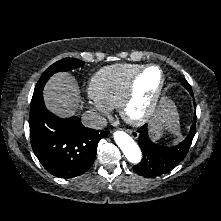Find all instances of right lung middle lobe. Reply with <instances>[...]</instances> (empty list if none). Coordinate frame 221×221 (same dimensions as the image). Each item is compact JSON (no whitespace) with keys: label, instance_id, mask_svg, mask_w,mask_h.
<instances>
[{"label":"right lung middle lobe","instance_id":"1","mask_svg":"<svg viewBox=\"0 0 221 221\" xmlns=\"http://www.w3.org/2000/svg\"><path fill=\"white\" fill-rule=\"evenodd\" d=\"M84 65V62L81 60L73 59V58H64L52 64L46 71L42 74L40 79L38 80L35 90L34 96L43 90L44 85L48 81V79L56 72L60 71H69Z\"/></svg>","mask_w":221,"mask_h":221}]
</instances>
